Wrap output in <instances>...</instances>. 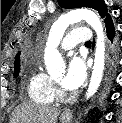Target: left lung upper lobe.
<instances>
[{"instance_id": "left-lung-upper-lobe-1", "label": "left lung upper lobe", "mask_w": 122, "mask_h": 123, "mask_svg": "<svg viewBox=\"0 0 122 123\" xmlns=\"http://www.w3.org/2000/svg\"><path fill=\"white\" fill-rule=\"evenodd\" d=\"M58 3L63 8H81L89 7L97 10L102 18L107 14V8L103 0H58Z\"/></svg>"}]
</instances>
